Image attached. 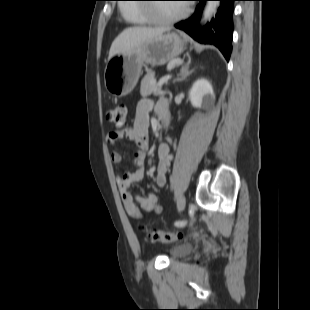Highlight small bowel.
Segmentation results:
<instances>
[{"instance_id":"obj_1","label":"small bowel","mask_w":310,"mask_h":310,"mask_svg":"<svg viewBox=\"0 0 310 310\" xmlns=\"http://www.w3.org/2000/svg\"><path fill=\"white\" fill-rule=\"evenodd\" d=\"M153 109L158 115H161V113L168 114L169 104L165 100H159L153 104L149 99H142L137 105L132 126L123 131H110L107 135V142L110 145H115L117 141L125 137L135 141L139 147V150L134 156V170L124 172L117 179L118 189L124 208L134 219H141L143 217V211L155 213H160L162 211L155 193L148 192L143 196L139 193L132 192L130 189L131 184L142 180L145 174V157L148 150L150 113ZM158 154L159 162L156 170V183L159 187H163L166 184V174L172 156L167 145H161ZM110 157L115 164L120 163L122 160L121 154L117 150H112Z\"/></svg>"}]
</instances>
